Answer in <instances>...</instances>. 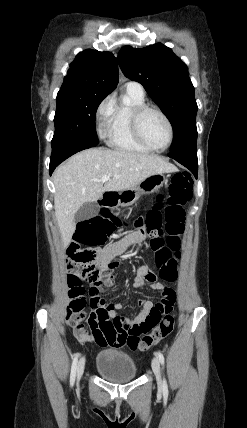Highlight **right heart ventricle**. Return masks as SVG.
<instances>
[{
    "label": "right heart ventricle",
    "instance_id": "right-heart-ventricle-1",
    "mask_svg": "<svg viewBox=\"0 0 247 428\" xmlns=\"http://www.w3.org/2000/svg\"><path fill=\"white\" fill-rule=\"evenodd\" d=\"M143 104H146L144 91L126 87L121 99L112 105V114L106 133L111 147L137 153L150 151L136 140L130 124L133 109Z\"/></svg>",
    "mask_w": 247,
    "mask_h": 428
}]
</instances>
